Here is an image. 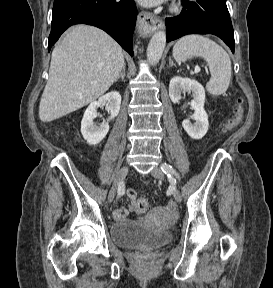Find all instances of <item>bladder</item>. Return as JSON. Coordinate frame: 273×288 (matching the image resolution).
I'll use <instances>...</instances> for the list:
<instances>
[{"label":"bladder","mask_w":273,"mask_h":288,"mask_svg":"<svg viewBox=\"0 0 273 288\" xmlns=\"http://www.w3.org/2000/svg\"><path fill=\"white\" fill-rule=\"evenodd\" d=\"M112 243L120 248L156 249L169 243L173 233L156 230L137 222L115 223L110 228Z\"/></svg>","instance_id":"obj_1"}]
</instances>
